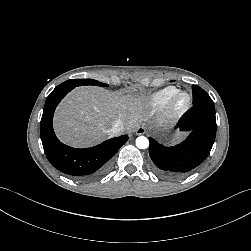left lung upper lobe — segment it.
<instances>
[{
    "mask_svg": "<svg viewBox=\"0 0 251 251\" xmlns=\"http://www.w3.org/2000/svg\"><path fill=\"white\" fill-rule=\"evenodd\" d=\"M193 105L214 106L210 96L200 87L193 86Z\"/></svg>",
    "mask_w": 251,
    "mask_h": 251,
    "instance_id": "1",
    "label": "left lung upper lobe"
}]
</instances>
